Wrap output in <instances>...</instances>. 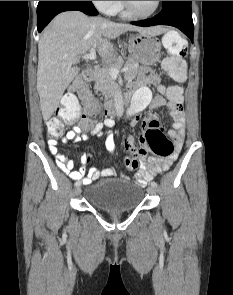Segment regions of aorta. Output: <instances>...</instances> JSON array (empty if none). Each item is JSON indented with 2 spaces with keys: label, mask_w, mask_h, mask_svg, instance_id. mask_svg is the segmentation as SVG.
<instances>
[{
  "label": "aorta",
  "mask_w": 233,
  "mask_h": 295,
  "mask_svg": "<svg viewBox=\"0 0 233 295\" xmlns=\"http://www.w3.org/2000/svg\"><path fill=\"white\" fill-rule=\"evenodd\" d=\"M114 106L119 114H122L124 112V102L121 92L116 93L114 97Z\"/></svg>",
  "instance_id": "762f6f07"
}]
</instances>
